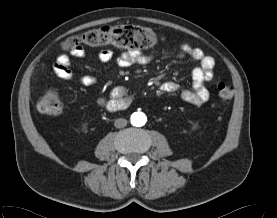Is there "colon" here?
Masks as SVG:
<instances>
[{
  "instance_id": "colon-1",
  "label": "colon",
  "mask_w": 277,
  "mask_h": 218,
  "mask_svg": "<svg viewBox=\"0 0 277 218\" xmlns=\"http://www.w3.org/2000/svg\"><path fill=\"white\" fill-rule=\"evenodd\" d=\"M159 42L157 33L151 28L139 25H108L89 30L80 36H72L65 40L63 47L74 50L82 45L99 47L113 46L121 49L148 50ZM217 94L222 102H229L234 96V89L227 83L217 85ZM37 109L47 115H58L63 104L59 93L48 88L40 97Z\"/></svg>"
}]
</instances>
